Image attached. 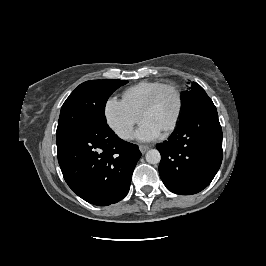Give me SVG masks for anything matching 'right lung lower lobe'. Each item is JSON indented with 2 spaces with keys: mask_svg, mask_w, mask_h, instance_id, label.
<instances>
[{
  "mask_svg": "<svg viewBox=\"0 0 266 266\" xmlns=\"http://www.w3.org/2000/svg\"><path fill=\"white\" fill-rule=\"evenodd\" d=\"M57 155L72 191L91 204L107 206L127 195L141 152L108 126H98L57 146Z\"/></svg>",
  "mask_w": 266,
  "mask_h": 266,
  "instance_id": "obj_1",
  "label": "right lung lower lobe"
}]
</instances>
